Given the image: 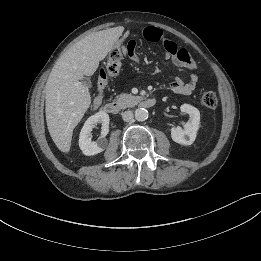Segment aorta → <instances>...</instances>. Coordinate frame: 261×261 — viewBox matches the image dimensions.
Wrapping results in <instances>:
<instances>
[{"label": "aorta", "mask_w": 261, "mask_h": 261, "mask_svg": "<svg viewBox=\"0 0 261 261\" xmlns=\"http://www.w3.org/2000/svg\"><path fill=\"white\" fill-rule=\"evenodd\" d=\"M148 111L145 108H138L135 111V119L137 121H145L148 119Z\"/></svg>", "instance_id": "aorta-1"}]
</instances>
